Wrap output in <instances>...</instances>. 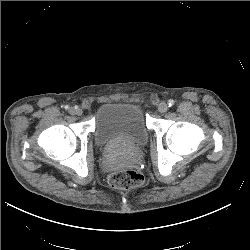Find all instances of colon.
Masks as SVG:
<instances>
[{
	"label": "colon",
	"mask_w": 250,
	"mask_h": 250,
	"mask_svg": "<svg viewBox=\"0 0 250 250\" xmlns=\"http://www.w3.org/2000/svg\"><path fill=\"white\" fill-rule=\"evenodd\" d=\"M108 181L115 189L129 190L142 185L144 177L135 170H122L112 173Z\"/></svg>",
	"instance_id": "colon-1"
}]
</instances>
